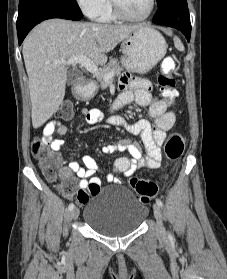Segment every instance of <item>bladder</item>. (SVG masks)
Returning a JSON list of instances; mask_svg holds the SVG:
<instances>
[{"label": "bladder", "mask_w": 227, "mask_h": 279, "mask_svg": "<svg viewBox=\"0 0 227 279\" xmlns=\"http://www.w3.org/2000/svg\"><path fill=\"white\" fill-rule=\"evenodd\" d=\"M104 193H92L85 203L83 220L88 227L108 237L122 236L140 227L148 209L130 189L116 186L105 197Z\"/></svg>", "instance_id": "bladder-1"}]
</instances>
